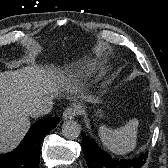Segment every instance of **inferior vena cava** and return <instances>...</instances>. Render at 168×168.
Here are the masks:
<instances>
[{
  "label": "inferior vena cava",
  "instance_id": "inferior-vena-cava-1",
  "mask_svg": "<svg viewBox=\"0 0 168 168\" xmlns=\"http://www.w3.org/2000/svg\"><path fill=\"white\" fill-rule=\"evenodd\" d=\"M53 107V102L51 100H45L36 104L31 110L30 115L33 117H38L48 114Z\"/></svg>",
  "mask_w": 168,
  "mask_h": 168
}]
</instances>
